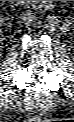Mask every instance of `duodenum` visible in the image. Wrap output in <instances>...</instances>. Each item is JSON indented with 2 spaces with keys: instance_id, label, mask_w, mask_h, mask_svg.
Masks as SVG:
<instances>
[{
  "instance_id": "obj_1",
  "label": "duodenum",
  "mask_w": 74,
  "mask_h": 122,
  "mask_svg": "<svg viewBox=\"0 0 74 122\" xmlns=\"http://www.w3.org/2000/svg\"><path fill=\"white\" fill-rule=\"evenodd\" d=\"M20 5L26 9H32L34 6V1H18ZM41 3L47 4L48 1H40ZM46 7V6H44Z\"/></svg>"
}]
</instances>
